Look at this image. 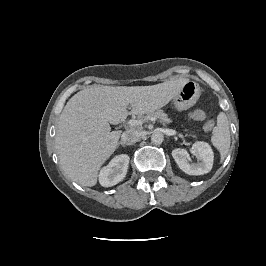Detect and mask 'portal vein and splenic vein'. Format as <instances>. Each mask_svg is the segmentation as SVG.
I'll return each mask as SVG.
<instances>
[{
    "label": "portal vein and splenic vein",
    "instance_id": "1",
    "mask_svg": "<svg viewBox=\"0 0 266 266\" xmlns=\"http://www.w3.org/2000/svg\"><path fill=\"white\" fill-rule=\"evenodd\" d=\"M148 120L155 122L156 118L155 117H150ZM143 121L142 120H135L132 119L128 122L129 126L134 127V126H140L142 125Z\"/></svg>",
    "mask_w": 266,
    "mask_h": 266
}]
</instances>
